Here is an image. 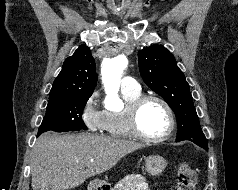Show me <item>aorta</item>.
<instances>
[{
	"label": "aorta",
	"instance_id": "762f6f07",
	"mask_svg": "<svg viewBox=\"0 0 238 190\" xmlns=\"http://www.w3.org/2000/svg\"><path fill=\"white\" fill-rule=\"evenodd\" d=\"M127 65L128 60L125 55H118L103 63L102 81L108 95L106 105L109 108H114L119 104L117 93L120 88V77Z\"/></svg>",
	"mask_w": 238,
	"mask_h": 190
}]
</instances>
